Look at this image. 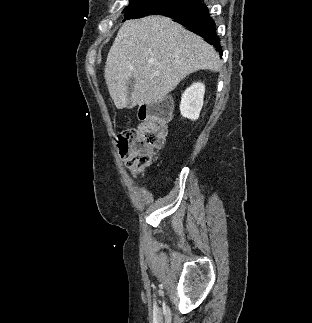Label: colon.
Returning <instances> with one entry per match:
<instances>
[{
  "instance_id": "obj_1",
  "label": "colon",
  "mask_w": 312,
  "mask_h": 323,
  "mask_svg": "<svg viewBox=\"0 0 312 323\" xmlns=\"http://www.w3.org/2000/svg\"><path fill=\"white\" fill-rule=\"evenodd\" d=\"M117 141V158H130L126 166L131 172H139L151 166L155 152L161 148L166 138L165 116L158 108L149 110L147 119L138 126H132L127 120Z\"/></svg>"
}]
</instances>
